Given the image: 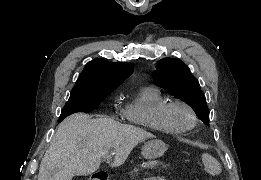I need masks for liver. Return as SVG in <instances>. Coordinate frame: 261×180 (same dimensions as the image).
<instances>
[{
	"label": "liver",
	"mask_w": 261,
	"mask_h": 180,
	"mask_svg": "<svg viewBox=\"0 0 261 180\" xmlns=\"http://www.w3.org/2000/svg\"><path fill=\"white\" fill-rule=\"evenodd\" d=\"M153 134L120 124L109 116L92 118L72 114L58 126L39 168L38 180H72L74 176H91L100 168V158L113 150L114 166H122L137 144Z\"/></svg>",
	"instance_id": "1"
}]
</instances>
